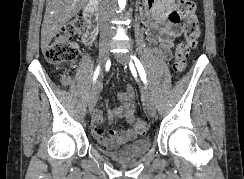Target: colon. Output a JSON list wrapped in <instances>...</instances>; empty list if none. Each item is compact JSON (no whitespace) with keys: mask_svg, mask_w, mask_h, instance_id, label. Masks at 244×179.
<instances>
[{"mask_svg":"<svg viewBox=\"0 0 244 179\" xmlns=\"http://www.w3.org/2000/svg\"><path fill=\"white\" fill-rule=\"evenodd\" d=\"M195 11L196 6L191 0H181L178 3V11L176 14L181 18L184 33L174 54L173 68L176 73H182L184 71L188 63L190 52L197 46L199 38V20ZM83 28L84 22L81 19H74L67 22L46 49V61L55 66H63L74 61L79 55V48L73 40V37L81 32ZM134 125L135 130L139 133H143L147 130V125L143 120H135Z\"/></svg>","mask_w":244,"mask_h":179,"instance_id":"colon-1","label":"colon"}]
</instances>
